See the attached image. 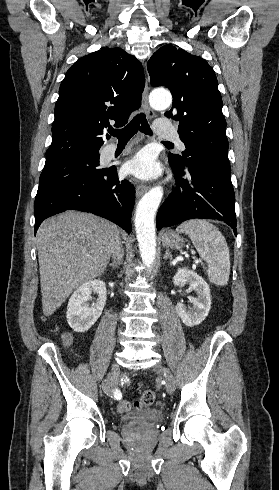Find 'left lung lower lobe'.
<instances>
[{
  "mask_svg": "<svg viewBox=\"0 0 279 490\" xmlns=\"http://www.w3.org/2000/svg\"><path fill=\"white\" fill-rule=\"evenodd\" d=\"M170 165L175 173L176 189L158 211L157 230L203 218L227 223L237 236L230 166L209 158L188 161L181 168L172 162Z\"/></svg>",
  "mask_w": 279,
  "mask_h": 490,
  "instance_id": "1",
  "label": "left lung lower lobe"
}]
</instances>
